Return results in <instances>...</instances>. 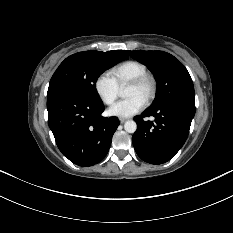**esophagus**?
Here are the masks:
<instances>
[{
    "mask_svg": "<svg viewBox=\"0 0 233 233\" xmlns=\"http://www.w3.org/2000/svg\"><path fill=\"white\" fill-rule=\"evenodd\" d=\"M126 120V118H119L120 123H124Z\"/></svg>",
    "mask_w": 233,
    "mask_h": 233,
    "instance_id": "esophagus-1",
    "label": "esophagus"
}]
</instances>
